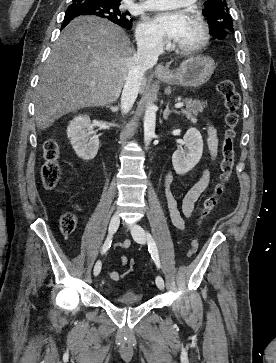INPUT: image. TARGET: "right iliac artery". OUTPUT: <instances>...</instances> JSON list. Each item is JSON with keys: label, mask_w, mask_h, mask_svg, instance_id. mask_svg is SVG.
<instances>
[{"label": "right iliac artery", "mask_w": 276, "mask_h": 363, "mask_svg": "<svg viewBox=\"0 0 276 363\" xmlns=\"http://www.w3.org/2000/svg\"><path fill=\"white\" fill-rule=\"evenodd\" d=\"M111 243H112V236H108L107 239L104 242L103 247H102V251H101L102 254L107 252V250L111 247ZM100 271H101V266H99L96 269V274H99Z\"/></svg>", "instance_id": "82829eb1"}]
</instances>
